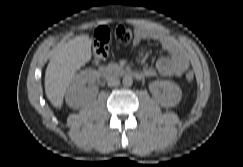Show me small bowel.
I'll return each mask as SVG.
<instances>
[{"label":"small bowel","instance_id":"c3829d8e","mask_svg":"<svg viewBox=\"0 0 243 167\" xmlns=\"http://www.w3.org/2000/svg\"><path fill=\"white\" fill-rule=\"evenodd\" d=\"M146 40L157 42L169 54L159 58L154 67L144 69L143 73L146 77H154L157 74L165 77L180 76L189 68V57L186 51L168 34L151 27H136L133 38L134 47L139 48Z\"/></svg>","mask_w":243,"mask_h":167}]
</instances>
